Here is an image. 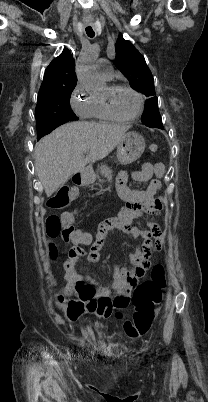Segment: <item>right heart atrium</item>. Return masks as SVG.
Returning a JSON list of instances; mask_svg holds the SVG:
<instances>
[{"label": "right heart atrium", "mask_w": 208, "mask_h": 402, "mask_svg": "<svg viewBox=\"0 0 208 402\" xmlns=\"http://www.w3.org/2000/svg\"><path fill=\"white\" fill-rule=\"evenodd\" d=\"M94 98L93 94L77 82L70 94V105L72 109L83 119H89L92 115Z\"/></svg>", "instance_id": "d8ad5b80"}]
</instances>
